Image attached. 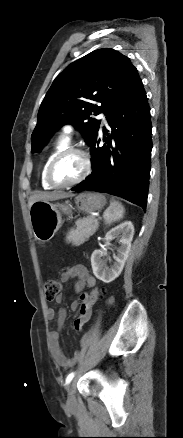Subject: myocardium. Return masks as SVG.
<instances>
[{
  "instance_id": "f54148a6",
  "label": "myocardium",
  "mask_w": 183,
  "mask_h": 438,
  "mask_svg": "<svg viewBox=\"0 0 183 438\" xmlns=\"http://www.w3.org/2000/svg\"><path fill=\"white\" fill-rule=\"evenodd\" d=\"M69 154H78L82 157L83 170H82L81 174L75 180H73L69 183H64V184L56 183L52 177L53 169H54L56 163L61 158H63L66 155H69ZM92 167H93L92 159L90 157V154L85 149H82L79 147H73V146L66 147L65 149L59 151L49 162L47 170H46V180L53 188H56V189L72 187V186H75V185L83 182L91 173Z\"/></svg>"
}]
</instances>
